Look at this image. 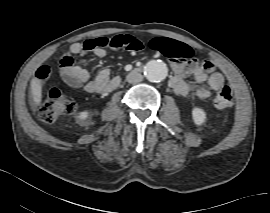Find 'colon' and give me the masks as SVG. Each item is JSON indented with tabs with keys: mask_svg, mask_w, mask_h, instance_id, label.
<instances>
[{
	"mask_svg": "<svg viewBox=\"0 0 270 213\" xmlns=\"http://www.w3.org/2000/svg\"><path fill=\"white\" fill-rule=\"evenodd\" d=\"M132 42L138 41L130 37ZM156 49L160 50L163 56H170L179 51L180 45L172 41L152 40ZM61 67H70L72 59L65 57L60 59ZM202 66L205 70L211 69L210 60L204 59ZM36 78L44 91V97L38 108V114L43 122L51 123L58 118L74 112L75 102L68 98L58 87L51 81V70L47 65L41 66L36 72ZM233 100V91L229 85L223 86L214 97V105L219 109L227 108Z\"/></svg>",
	"mask_w": 270,
	"mask_h": 213,
	"instance_id": "obj_1",
	"label": "colon"
}]
</instances>
